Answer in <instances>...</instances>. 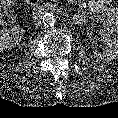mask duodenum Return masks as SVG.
Listing matches in <instances>:
<instances>
[{
  "label": "duodenum",
  "mask_w": 118,
  "mask_h": 118,
  "mask_svg": "<svg viewBox=\"0 0 118 118\" xmlns=\"http://www.w3.org/2000/svg\"><path fill=\"white\" fill-rule=\"evenodd\" d=\"M44 11V8L42 6H36L34 12L36 15H41Z\"/></svg>",
  "instance_id": "obj_1"
}]
</instances>
